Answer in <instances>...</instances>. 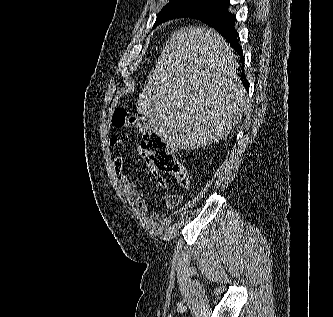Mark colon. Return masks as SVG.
Instances as JSON below:
<instances>
[{
	"mask_svg": "<svg viewBox=\"0 0 333 317\" xmlns=\"http://www.w3.org/2000/svg\"><path fill=\"white\" fill-rule=\"evenodd\" d=\"M112 125L116 129H138L142 133L141 146L153 165L162 172L172 174L180 185H189L187 170L177 159L174 148L140 116L124 108H117L113 113Z\"/></svg>",
	"mask_w": 333,
	"mask_h": 317,
	"instance_id": "1",
	"label": "colon"
}]
</instances>
